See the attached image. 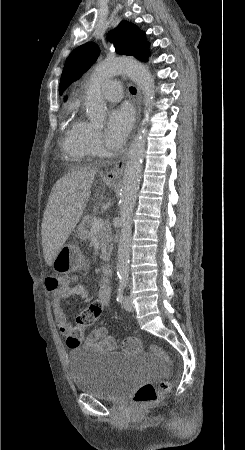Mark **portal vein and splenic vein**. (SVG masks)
I'll use <instances>...</instances> for the list:
<instances>
[{"label":"portal vein and splenic vein","mask_w":245,"mask_h":450,"mask_svg":"<svg viewBox=\"0 0 245 450\" xmlns=\"http://www.w3.org/2000/svg\"><path fill=\"white\" fill-rule=\"evenodd\" d=\"M104 227V221L102 218H95L92 223L91 230H101Z\"/></svg>","instance_id":"obj_1"}]
</instances>
